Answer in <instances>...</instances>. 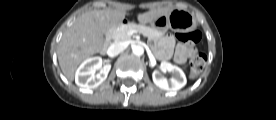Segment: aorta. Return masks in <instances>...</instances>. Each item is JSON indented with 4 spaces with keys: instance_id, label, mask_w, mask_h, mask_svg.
I'll use <instances>...</instances> for the list:
<instances>
[{
    "instance_id": "aorta-1",
    "label": "aorta",
    "mask_w": 276,
    "mask_h": 120,
    "mask_svg": "<svg viewBox=\"0 0 276 120\" xmlns=\"http://www.w3.org/2000/svg\"><path fill=\"white\" fill-rule=\"evenodd\" d=\"M132 53L136 56H141L144 53V48L141 45H134L132 47Z\"/></svg>"
}]
</instances>
